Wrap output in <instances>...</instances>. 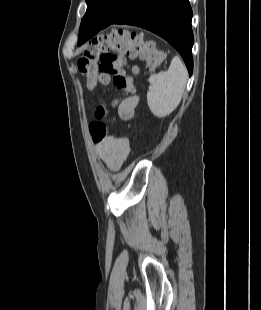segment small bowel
<instances>
[{"instance_id":"c3829d8e","label":"small bowel","mask_w":261,"mask_h":310,"mask_svg":"<svg viewBox=\"0 0 261 310\" xmlns=\"http://www.w3.org/2000/svg\"><path fill=\"white\" fill-rule=\"evenodd\" d=\"M138 96L126 97L118 106V113L122 119H131L138 105ZM100 158L113 170L119 169L131 153L130 139L125 136L107 135L100 140H94Z\"/></svg>"}]
</instances>
